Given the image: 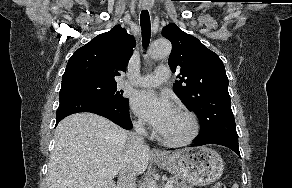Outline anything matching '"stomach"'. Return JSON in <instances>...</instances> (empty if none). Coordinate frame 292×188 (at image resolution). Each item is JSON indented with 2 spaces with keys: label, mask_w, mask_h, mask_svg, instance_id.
Wrapping results in <instances>:
<instances>
[{
  "label": "stomach",
  "mask_w": 292,
  "mask_h": 188,
  "mask_svg": "<svg viewBox=\"0 0 292 188\" xmlns=\"http://www.w3.org/2000/svg\"><path fill=\"white\" fill-rule=\"evenodd\" d=\"M163 169L193 186H205L219 179L224 170L221 156L209 147L186 148L154 159Z\"/></svg>",
  "instance_id": "stomach-1"
}]
</instances>
